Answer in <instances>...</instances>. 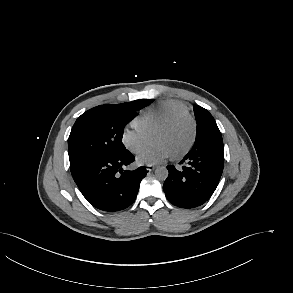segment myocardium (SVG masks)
Here are the masks:
<instances>
[{"label":"myocardium","mask_w":293,"mask_h":293,"mask_svg":"<svg viewBox=\"0 0 293 293\" xmlns=\"http://www.w3.org/2000/svg\"><path fill=\"white\" fill-rule=\"evenodd\" d=\"M182 120H187L191 124V138L188 143V145L183 149L181 152L172 155V158L175 160L181 159L185 157L192 149L197 135V122L193 115H191L189 112L186 113H179L168 119L166 122L162 123L160 126H158L154 132L162 131V130H168L175 126L177 123H179Z\"/></svg>","instance_id":"f54148a6"}]
</instances>
